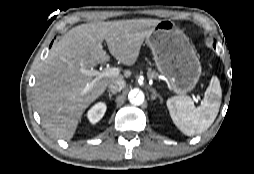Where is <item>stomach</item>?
<instances>
[{"label":"stomach","mask_w":254,"mask_h":174,"mask_svg":"<svg viewBox=\"0 0 254 174\" xmlns=\"http://www.w3.org/2000/svg\"><path fill=\"white\" fill-rule=\"evenodd\" d=\"M157 69L178 94L192 91L201 75V64L184 32L174 22L162 20L146 38Z\"/></svg>","instance_id":"0dacf381"}]
</instances>
